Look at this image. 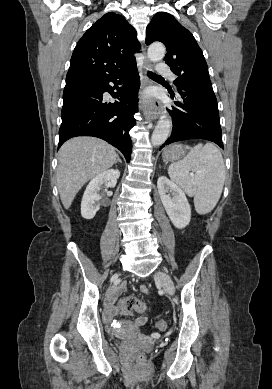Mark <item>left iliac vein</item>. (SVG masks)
<instances>
[{
    "mask_svg": "<svg viewBox=\"0 0 272 389\" xmlns=\"http://www.w3.org/2000/svg\"><path fill=\"white\" fill-rule=\"evenodd\" d=\"M154 278L156 281L161 283L163 289L166 291L167 294H169L170 296L174 295L175 287L173 281L171 280L168 274L158 271L155 273Z\"/></svg>",
    "mask_w": 272,
    "mask_h": 389,
    "instance_id": "4c4485c4",
    "label": "left iliac vein"
}]
</instances>
